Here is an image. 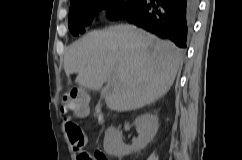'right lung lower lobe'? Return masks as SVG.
I'll use <instances>...</instances> for the list:
<instances>
[{"label": "right lung lower lobe", "instance_id": "obj_1", "mask_svg": "<svg viewBox=\"0 0 242 160\" xmlns=\"http://www.w3.org/2000/svg\"><path fill=\"white\" fill-rule=\"evenodd\" d=\"M198 3L199 0H140L122 19L185 48Z\"/></svg>", "mask_w": 242, "mask_h": 160}]
</instances>
